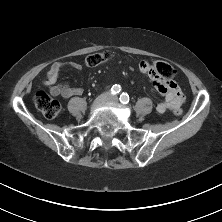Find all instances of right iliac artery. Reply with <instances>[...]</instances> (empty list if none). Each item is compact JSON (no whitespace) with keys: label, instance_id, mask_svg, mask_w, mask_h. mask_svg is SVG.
I'll use <instances>...</instances> for the list:
<instances>
[{"label":"right iliac artery","instance_id":"right-iliac-artery-1","mask_svg":"<svg viewBox=\"0 0 222 222\" xmlns=\"http://www.w3.org/2000/svg\"><path fill=\"white\" fill-rule=\"evenodd\" d=\"M121 91V87L120 85H113V87L111 88V93L113 95L118 94Z\"/></svg>","mask_w":222,"mask_h":222}]
</instances>
